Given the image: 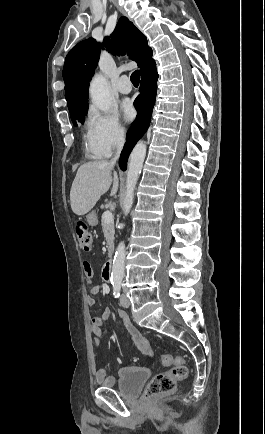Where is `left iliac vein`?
I'll use <instances>...</instances> for the list:
<instances>
[{
  "label": "left iliac vein",
  "mask_w": 265,
  "mask_h": 434,
  "mask_svg": "<svg viewBox=\"0 0 265 434\" xmlns=\"http://www.w3.org/2000/svg\"><path fill=\"white\" fill-rule=\"evenodd\" d=\"M120 304L121 306L127 308L130 306V301L125 294H121L120 296Z\"/></svg>",
  "instance_id": "obj_1"
}]
</instances>
